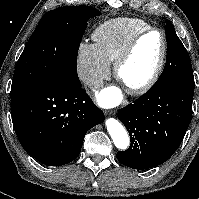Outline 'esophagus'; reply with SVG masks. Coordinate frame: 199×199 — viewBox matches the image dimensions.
Instances as JSON below:
<instances>
[{"label": "esophagus", "mask_w": 199, "mask_h": 199, "mask_svg": "<svg viewBox=\"0 0 199 199\" xmlns=\"http://www.w3.org/2000/svg\"><path fill=\"white\" fill-rule=\"evenodd\" d=\"M106 114L113 116L116 114V111L115 110L106 111Z\"/></svg>", "instance_id": "34e87169"}]
</instances>
